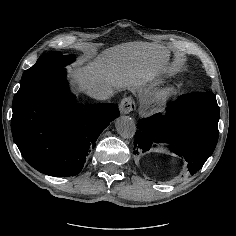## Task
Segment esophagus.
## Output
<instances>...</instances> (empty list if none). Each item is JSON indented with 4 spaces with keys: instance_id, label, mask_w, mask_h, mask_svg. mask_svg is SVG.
I'll return each instance as SVG.
<instances>
[{
    "instance_id": "34e87169",
    "label": "esophagus",
    "mask_w": 236,
    "mask_h": 236,
    "mask_svg": "<svg viewBox=\"0 0 236 236\" xmlns=\"http://www.w3.org/2000/svg\"><path fill=\"white\" fill-rule=\"evenodd\" d=\"M119 108L122 114H129L136 109V104L131 96L123 98L119 104Z\"/></svg>"
}]
</instances>
